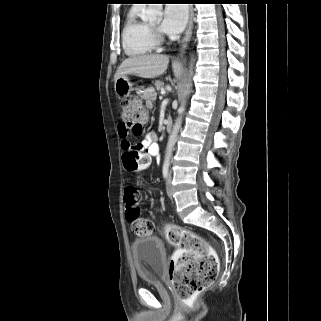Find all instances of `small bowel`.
Segmentation results:
<instances>
[{"instance_id": "small-bowel-1", "label": "small bowel", "mask_w": 321, "mask_h": 321, "mask_svg": "<svg viewBox=\"0 0 321 321\" xmlns=\"http://www.w3.org/2000/svg\"><path fill=\"white\" fill-rule=\"evenodd\" d=\"M138 92H141V89H138ZM143 96L147 102H151L152 96L149 93L145 92ZM118 132L121 139V148L124 156L133 150L144 152L149 159L158 154L157 134L155 131L151 130L146 132L143 140L135 146L132 145L128 139L130 129L124 123L119 124Z\"/></svg>"}]
</instances>
